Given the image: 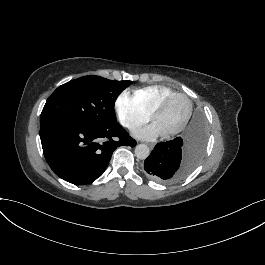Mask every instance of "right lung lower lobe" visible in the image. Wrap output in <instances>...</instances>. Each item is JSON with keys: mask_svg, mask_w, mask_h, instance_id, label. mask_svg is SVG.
<instances>
[{"mask_svg": "<svg viewBox=\"0 0 265 265\" xmlns=\"http://www.w3.org/2000/svg\"><path fill=\"white\" fill-rule=\"evenodd\" d=\"M116 137L118 140L113 139ZM40 138L53 172L79 185L99 178L117 147L136 145L118 122L99 125L90 121L59 120L41 127Z\"/></svg>", "mask_w": 265, "mask_h": 265, "instance_id": "right-lung-lower-lobe-1", "label": "right lung lower lobe"}]
</instances>
